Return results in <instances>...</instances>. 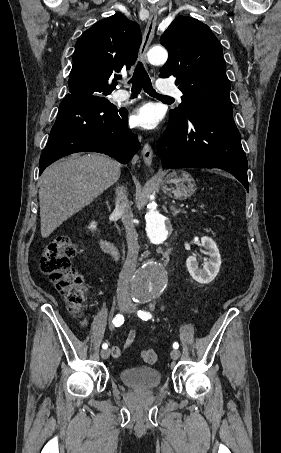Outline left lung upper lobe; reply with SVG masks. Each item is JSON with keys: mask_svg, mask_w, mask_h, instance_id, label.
<instances>
[{"mask_svg": "<svg viewBox=\"0 0 281 453\" xmlns=\"http://www.w3.org/2000/svg\"><path fill=\"white\" fill-rule=\"evenodd\" d=\"M160 43L169 53L160 77L174 76L183 93L182 103L170 111L172 121L196 110L232 107L222 47L207 25L180 15Z\"/></svg>", "mask_w": 281, "mask_h": 453, "instance_id": "left-lung-upper-lobe-1", "label": "left lung upper lobe"}]
</instances>
